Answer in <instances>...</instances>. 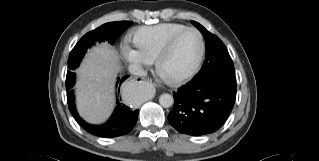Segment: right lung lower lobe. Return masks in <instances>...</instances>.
<instances>
[{
  "label": "right lung lower lobe",
  "instance_id": "obj_1",
  "mask_svg": "<svg viewBox=\"0 0 319 161\" xmlns=\"http://www.w3.org/2000/svg\"><path fill=\"white\" fill-rule=\"evenodd\" d=\"M128 76H124L117 83L121 85V83ZM70 85H66L67 93V102L68 107L73 115L74 119L77 121L79 125H81L84 129H86L91 134L100 137H116L129 133L133 127L135 126L138 119L139 110H132L130 107L120 103V100L117 98V106L116 109L111 116V118L103 125H91L86 123L81 117H79L74 103V96L71 90ZM119 91V89H118Z\"/></svg>",
  "mask_w": 319,
  "mask_h": 161
}]
</instances>
